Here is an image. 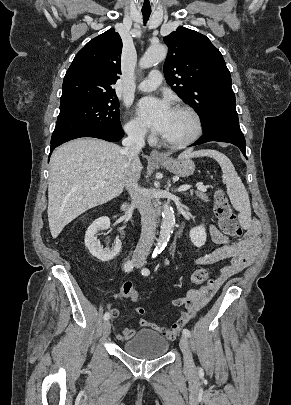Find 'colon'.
Wrapping results in <instances>:
<instances>
[{
  "mask_svg": "<svg viewBox=\"0 0 291 405\" xmlns=\"http://www.w3.org/2000/svg\"><path fill=\"white\" fill-rule=\"evenodd\" d=\"M214 213L217 217L220 229L226 235L232 237H240L242 235V229L238 223V220L233 213L229 201L222 191H218L215 194ZM209 279V272L204 268L195 270L191 275V281L194 284H203ZM122 296L138 300L139 294L132 286L130 282H126L121 287Z\"/></svg>",
  "mask_w": 291,
  "mask_h": 405,
  "instance_id": "obj_1",
  "label": "colon"
}]
</instances>
